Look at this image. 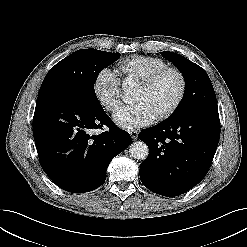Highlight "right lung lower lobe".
I'll return each instance as SVG.
<instances>
[{
  "mask_svg": "<svg viewBox=\"0 0 247 247\" xmlns=\"http://www.w3.org/2000/svg\"><path fill=\"white\" fill-rule=\"evenodd\" d=\"M107 126V131L88 132ZM33 135L40 164L60 188L84 193L101 186L110 161L131 143L103 107H92L66 90L38 94Z\"/></svg>",
  "mask_w": 247,
  "mask_h": 247,
  "instance_id": "right-lung-lower-lobe-1",
  "label": "right lung lower lobe"
}]
</instances>
